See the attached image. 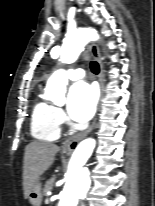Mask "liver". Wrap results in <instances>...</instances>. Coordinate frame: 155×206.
Listing matches in <instances>:
<instances>
[{
	"instance_id": "6515ba94",
	"label": "liver",
	"mask_w": 155,
	"mask_h": 206,
	"mask_svg": "<svg viewBox=\"0 0 155 206\" xmlns=\"http://www.w3.org/2000/svg\"><path fill=\"white\" fill-rule=\"evenodd\" d=\"M60 148L53 143L34 141L28 144L24 153L23 189L24 197L28 195L34 183L53 164Z\"/></svg>"
}]
</instances>
